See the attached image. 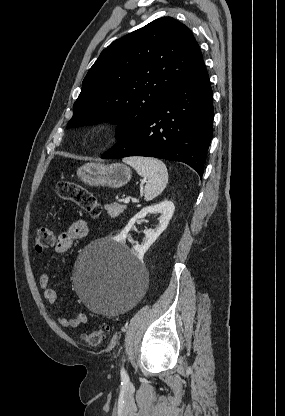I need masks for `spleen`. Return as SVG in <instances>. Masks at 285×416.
<instances>
[{"instance_id":"spleen-1","label":"spleen","mask_w":285,"mask_h":416,"mask_svg":"<svg viewBox=\"0 0 285 416\" xmlns=\"http://www.w3.org/2000/svg\"><path fill=\"white\" fill-rule=\"evenodd\" d=\"M122 162L132 166L142 178H147L148 182L144 190L145 200H154L165 190L168 184V172L161 160L132 156V158H123Z\"/></svg>"}]
</instances>
